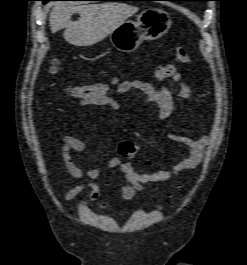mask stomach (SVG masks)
<instances>
[{"label":"stomach","mask_w":247,"mask_h":265,"mask_svg":"<svg viewBox=\"0 0 247 265\" xmlns=\"http://www.w3.org/2000/svg\"><path fill=\"white\" fill-rule=\"evenodd\" d=\"M172 24L169 14L160 8L142 11L136 21L127 20L110 34L112 45L121 52L131 53L139 48L144 40L161 38Z\"/></svg>","instance_id":"0dacf381"}]
</instances>
